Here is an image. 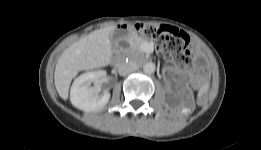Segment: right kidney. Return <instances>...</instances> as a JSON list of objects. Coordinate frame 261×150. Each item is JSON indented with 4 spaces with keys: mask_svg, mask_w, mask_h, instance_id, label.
I'll list each match as a JSON object with an SVG mask.
<instances>
[{
    "mask_svg": "<svg viewBox=\"0 0 261 150\" xmlns=\"http://www.w3.org/2000/svg\"><path fill=\"white\" fill-rule=\"evenodd\" d=\"M105 74L104 71H92L76 78L70 90L72 105L86 112L98 111L104 108L110 99V93L106 91L99 94L100 87H91V83L92 81H98Z\"/></svg>",
    "mask_w": 261,
    "mask_h": 150,
    "instance_id": "obj_1",
    "label": "right kidney"
}]
</instances>
